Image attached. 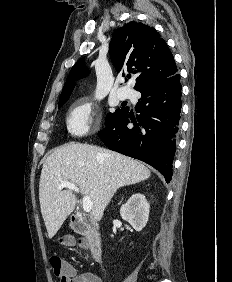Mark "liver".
Here are the masks:
<instances>
[{
  "label": "liver",
  "mask_w": 232,
  "mask_h": 282,
  "mask_svg": "<svg viewBox=\"0 0 232 282\" xmlns=\"http://www.w3.org/2000/svg\"><path fill=\"white\" fill-rule=\"evenodd\" d=\"M150 170L127 156L88 144L69 143L54 150L45 160L40 176L39 201L51 239L76 205L70 190H59L69 181L79 186L92 202V215L100 220L117 189L148 179Z\"/></svg>",
  "instance_id": "liver-1"
}]
</instances>
